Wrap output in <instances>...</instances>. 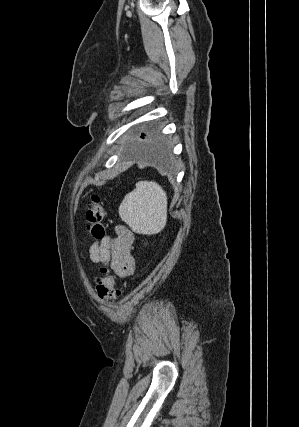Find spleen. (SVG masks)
<instances>
[{
    "mask_svg": "<svg viewBox=\"0 0 299 427\" xmlns=\"http://www.w3.org/2000/svg\"><path fill=\"white\" fill-rule=\"evenodd\" d=\"M119 215L132 231L154 235L167 222V195L154 181H139L119 206Z\"/></svg>",
    "mask_w": 299,
    "mask_h": 427,
    "instance_id": "obj_1",
    "label": "spleen"
}]
</instances>
